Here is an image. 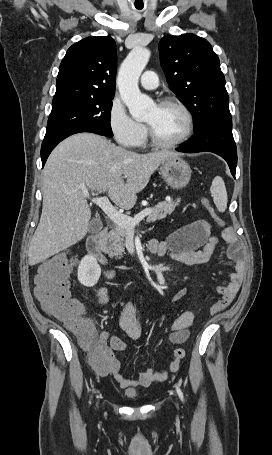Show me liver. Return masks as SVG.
<instances>
[{"label": "liver", "mask_w": 272, "mask_h": 455, "mask_svg": "<svg viewBox=\"0 0 272 455\" xmlns=\"http://www.w3.org/2000/svg\"><path fill=\"white\" fill-rule=\"evenodd\" d=\"M178 155L170 151L138 154L91 133L62 141L44 168L42 214L30 242L29 265H36L85 237L91 210L84 192L108 193L113 203L129 210L159 165Z\"/></svg>", "instance_id": "liver-1"}]
</instances>
